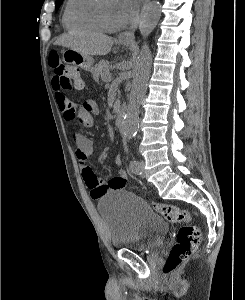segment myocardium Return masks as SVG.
Here are the masks:
<instances>
[{"instance_id": "obj_1", "label": "myocardium", "mask_w": 245, "mask_h": 300, "mask_svg": "<svg viewBox=\"0 0 245 300\" xmlns=\"http://www.w3.org/2000/svg\"><path fill=\"white\" fill-rule=\"evenodd\" d=\"M102 2H103V0H96L95 7H94V13H95L96 21H97L99 27L103 31H107V32L118 31V30L124 28L129 23V21L131 20L130 18L126 19L124 22H122L120 24H116V25L109 24L105 20L104 15H103Z\"/></svg>"}]
</instances>
